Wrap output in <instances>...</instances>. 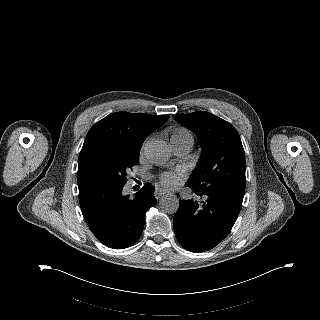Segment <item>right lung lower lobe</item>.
Segmentation results:
<instances>
[{
  "label": "right lung lower lobe",
  "mask_w": 320,
  "mask_h": 320,
  "mask_svg": "<svg viewBox=\"0 0 320 320\" xmlns=\"http://www.w3.org/2000/svg\"><path fill=\"white\" fill-rule=\"evenodd\" d=\"M124 185L88 177L78 181L83 217L95 237L107 247L123 249L140 237L147 210L154 206V186L145 185L134 198Z\"/></svg>",
  "instance_id": "1"
}]
</instances>
